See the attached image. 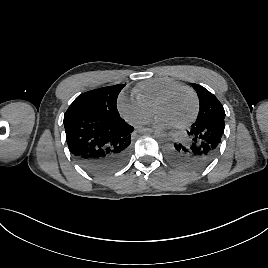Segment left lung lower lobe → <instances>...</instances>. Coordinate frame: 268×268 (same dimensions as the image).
Masks as SVG:
<instances>
[{
    "instance_id": "0a47b994",
    "label": "left lung lower lobe",
    "mask_w": 268,
    "mask_h": 268,
    "mask_svg": "<svg viewBox=\"0 0 268 268\" xmlns=\"http://www.w3.org/2000/svg\"><path fill=\"white\" fill-rule=\"evenodd\" d=\"M223 133L224 118L215 123L204 122L191 126L185 140L167 146L166 157L183 171H199L208 166L218 154Z\"/></svg>"
}]
</instances>
